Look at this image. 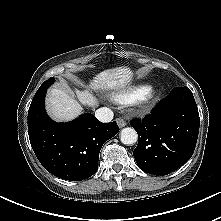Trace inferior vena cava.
<instances>
[{
    "label": "inferior vena cava",
    "mask_w": 221,
    "mask_h": 221,
    "mask_svg": "<svg viewBox=\"0 0 221 221\" xmlns=\"http://www.w3.org/2000/svg\"><path fill=\"white\" fill-rule=\"evenodd\" d=\"M113 116H114L113 111L106 107L99 108L95 111V117L100 122H110L112 121Z\"/></svg>",
    "instance_id": "602c4592"
}]
</instances>
